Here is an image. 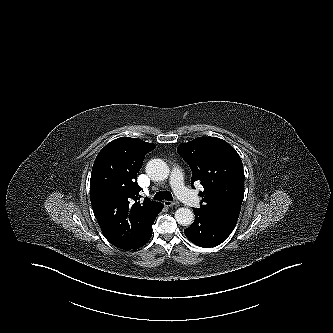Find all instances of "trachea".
Segmentation results:
<instances>
[{
  "label": "trachea",
  "instance_id": "3493384b",
  "mask_svg": "<svg viewBox=\"0 0 333 333\" xmlns=\"http://www.w3.org/2000/svg\"><path fill=\"white\" fill-rule=\"evenodd\" d=\"M155 200H168V201H173L172 194L169 191H159L155 194L154 196Z\"/></svg>",
  "mask_w": 333,
  "mask_h": 333
}]
</instances>
